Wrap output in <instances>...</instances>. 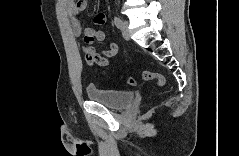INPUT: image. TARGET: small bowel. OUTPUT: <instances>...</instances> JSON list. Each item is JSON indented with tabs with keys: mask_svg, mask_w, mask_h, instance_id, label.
<instances>
[{
	"mask_svg": "<svg viewBox=\"0 0 239 156\" xmlns=\"http://www.w3.org/2000/svg\"><path fill=\"white\" fill-rule=\"evenodd\" d=\"M63 5L68 14L73 35L80 37L83 34L84 44L81 46V51L86 62L88 64L107 66L109 59L117 55L118 45L113 41H108L107 48L101 52H98L92 45L95 41L102 42L106 38L105 32L99 28L105 24V16L103 14L97 15L94 19V26H86L82 29L78 16L87 9V1L65 0Z\"/></svg>",
	"mask_w": 239,
	"mask_h": 156,
	"instance_id": "1",
	"label": "small bowel"
}]
</instances>
